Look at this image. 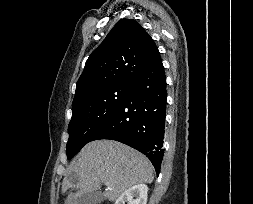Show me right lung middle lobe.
<instances>
[{"label": "right lung middle lobe", "mask_w": 253, "mask_h": 204, "mask_svg": "<svg viewBox=\"0 0 253 204\" xmlns=\"http://www.w3.org/2000/svg\"><path fill=\"white\" fill-rule=\"evenodd\" d=\"M130 84L113 85L96 91L72 104L73 115L68 126L69 140L66 146L68 159L102 129L125 99Z\"/></svg>", "instance_id": "1"}]
</instances>
